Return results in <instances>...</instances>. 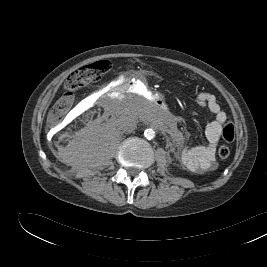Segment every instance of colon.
<instances>
[{
    "instance_id": "obj_1",
    "label": "colon",
    "mask_w": 267,
    "mask_h": 267,
    "mask_svg": "<svg viewBox=\"0 0 267 267\" xmlns=\"http://www.w3.org/2000/svg\"><path fill=\"white\" fill-rule=\"evenodd\" d=\"M110 68L108 61L102 60L89 65H84L74 70L65 81V93L57 100L49 114L51 124L59 123L65 114L71 109L74 101V91L84 87L88 83L97 81ZM235 127L228 122L222 130V136L225 141L231 142L235 138ZM231 149L223 144L218 149V155L221 159L229 157Z\"/></svg>"
}]
</instances>
